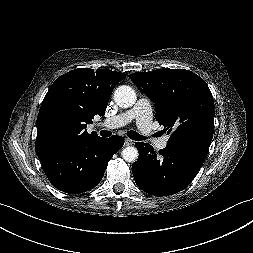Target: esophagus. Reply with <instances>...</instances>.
<instances>
[{"label":"esophagus","instance_id":"obj_1","mask_svg":"<svg viewBox=\"0 0 253 253\" xmlns=\"http://www.w3.org/2000/svg\"><path fill=\"white\" fill-rule=\"evenodd\" d=\"M133 144V140L129 139V138H125V146H130Z\"/></svg>","mask_w":253,"mask_h":253}]
</instances>
